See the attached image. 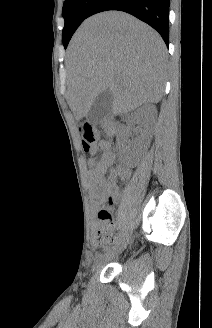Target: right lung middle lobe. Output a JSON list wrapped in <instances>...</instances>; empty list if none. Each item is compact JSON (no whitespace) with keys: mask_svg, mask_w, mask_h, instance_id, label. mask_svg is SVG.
Masks as SVG:
<instances>
[{"mask_svg":"<svg viewBox=\"0 0 212 328\" xmlns=\"http://www.w3.org/2000/svg\"><path fill=\"white\" fill-rule=\"evenodd\" d=\"M97 0H65L62 15L65 25L62 31V41L66 48L73 33L88 17V13Z\"/></svg>","mask_w":212,"mask_h":328,"instance_id":"obj_1","label":"right lung middle lobe"}]
</instances>
